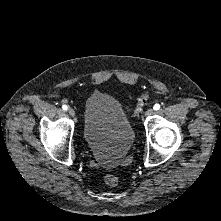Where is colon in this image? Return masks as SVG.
Here are the masks:
<instances>
[{
	"label": "colon",
	"instance_id": "1",
	"mask_svg": "<svg viewBox=\"0 0 221 221\" xmlns=\"http://www.w3.org/2000/svg\"><path fill=\"white\" fill-rule=\"evenodd\" d=\"M149 98H150L149 91L145 90L141 93V95L137 100V104L133 110V113L135 115H138L142 111L143 107L146 105ZM104 182L110 186H115L118 184L119 178L114 174H107L104 176Z\"/></svg>",
	"mask_w": 221,
	"mask_h": 221
}]
</instances>
